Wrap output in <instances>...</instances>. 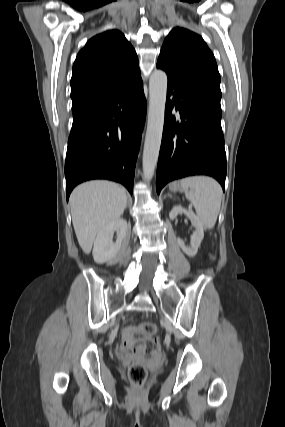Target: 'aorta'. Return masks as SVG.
<instances>
[{
	"label": "aorta",
	"mask_w": 285,
	"mask_h": 427,
	"mask_svg": "<svg viewBox=\"0 0 285 427\" xmlns=\"http://www.w3.org/2000/svg\"><path fill=\"white\" fill-rule=\"evenodd\" d=\"M166 95L167 75L162 70H154L149 80L148 123L142 158L144 178L147 181L152 179L159 157Z\"/></svg>",
	"instance_id": "aorta-1"
}]
</instances>
